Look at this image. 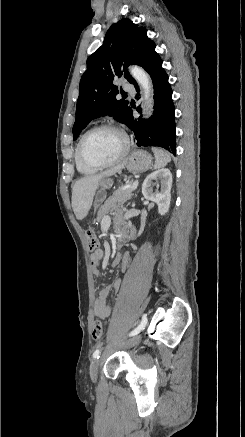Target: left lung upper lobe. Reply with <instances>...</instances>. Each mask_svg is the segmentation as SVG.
<instances>
[{
    "mask_svg": "<svg viewBox=\"0 0 245 437\" xmlns=\"http://www.w3.org/2000/svg\"><path fill=\"white\" fill-rule=\"evenodd\" d=\"M154 47L146 28L138 27L130 19H122L109 28L103 45L87 59V70L80 81L74 140L92 120L102 116H113L126 124L130 105L128 101L116 99L119 90L113 80L123 76L133 83L135 80L127 67L141 65Z\"/></svg>",
    "mask_w": 245,
    "mask_h": 437,
    "instance_id": "5c2ea615",
    "label": "left lung upper lobe"
}]
</instances>
